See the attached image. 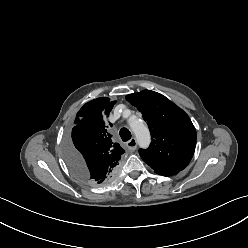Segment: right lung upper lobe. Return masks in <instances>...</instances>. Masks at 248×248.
Segmentation results:
<instances>
[{
    "label": "right lung upper lobe",
    "mask_w": 248,
    "mask_h": 248,
    "mask_svg": "<svg viewBox=\"0 0 248 248\" xmlns=\"http://www.w3.org/2000/svg\"><path fill=\"white\" fill-rule=\"evenodd\" d=\"M115 103L106 97L97 98L86 103L75 119L70 141L71 164L78 165L85 179H100L90 184L101 185L114 179L112 177L102 182L113 171L118 172L125 152L118 143L113 142L107 129L112 124L108 125L106 118Z\"/></svg>",
    "instance_id": "1"
}]
</instances>
